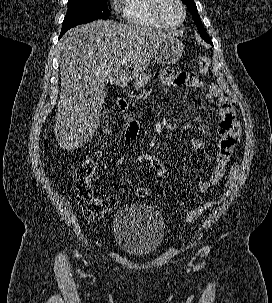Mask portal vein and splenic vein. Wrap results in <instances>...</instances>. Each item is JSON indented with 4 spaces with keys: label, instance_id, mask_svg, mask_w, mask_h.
<instances>
[{
    "label": "portal vein and splenic vein",
    "instance_id": "18ae733b",
    "mask_svg": "<svg viewBox=\"0 0 272 303\" xmlns=\"http://www.w3.org/2000/svg\"><path fill=\"white\" fill-rule=\"evenodd\" d=\"M127 62H128V60H127V59H124V60H123V63H124V64H126Z\"/></svg>",
    "mask_w": 272,
    "mask_h": 303
}]
</instances>
